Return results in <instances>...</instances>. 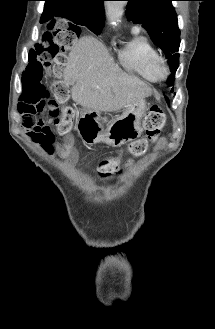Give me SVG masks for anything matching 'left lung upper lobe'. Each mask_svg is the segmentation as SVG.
Here are the masks:
<instances>
[{
	"mask_svg": "<svg viewBox=\"0 0 215 329\" xmlns=\"http://www.w3.org/2000/svg\"><path fill=\"white\" fill-rule=\"evenodd\" d=\"M127 18L134 23H142L153 42L168 58L171 76L167 81L173 85L175 72L179 66L180 30L177 15L172 6L173 0H126Z\"/></svg>",
	"mask_w": 215,
	"mask_h": 329,
	"instance_id": "1",
	"label": "left lung upper lobe"
}]
</instances>
